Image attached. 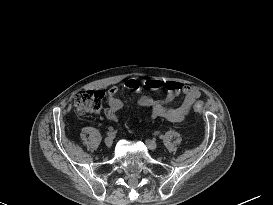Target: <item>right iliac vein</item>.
Wrapping results in <instances>:
<instances>
[{
    "label": "right iliac vein",
    "mask_w": 273,
    "mask_h": 205,
    "mask_svg": "<svg viewBox=\"0 0 273 205\" xmlns=\"http://www.w3.org/2000/svg\"><path fill=\"white\" fill-rule=\"evenodd\" d=\"M104 143L107 147H111L113 144V137H111V136L106 137L104 140Z\"/></svg>",
    "instance_id": "right-iliac-vein-1"
}]
</instances>
